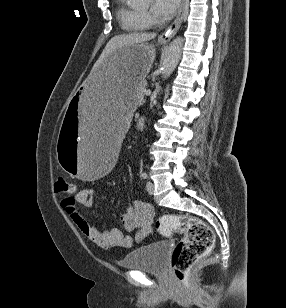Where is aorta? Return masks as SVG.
I'll return each instance as SVG.
<instances>
[{
    "label": "aorta",
    "mask_w": 286,
    "mask_h": 308,
    "mask_svg": "<svg viewBox=\"0 0 286 308\" xmlns=\"http://www.w3.org/2000/svg\"><path fill=\"white\" fill-rule=\"evenodd\" d=\"M137 2H148L149 0H136ZM183 48V39L181 37L175 38L162 57L161 73L163 78H168L176 68L181 57Z\"/></svg>",
    "instance_id": "1"
}]
</instances>
